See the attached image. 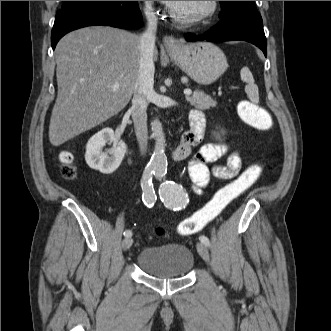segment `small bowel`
Returning a JSON list of instances; mask_svg holds the SVG:
<instances>
[{
  "mask_svg": "<svg viewBox=\"0 0 331 331\" xmlns=\"http://www.w3.org/2000/svg\"><path fill=\"white\" fill-rule=\"evenodd\" d=\"M190 129L183 133L179 145L174 149L172 157L176 161L188 159V174L198 192L215 177L221 180H232L241 173L242 162L237 152L228 154L225 145L207 143L192 154V149L199 145L204 137L206 121L202 112L194 110L189 115ZM227 156L226 163L216 164Z\"/></svg>",
  "mask_w": 331,
  "mask_h": 331,
  "instance_id": "1",
  "label": "small bowel"
}]
</instances>
